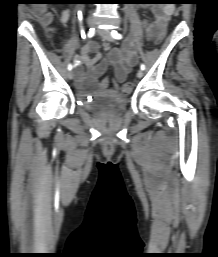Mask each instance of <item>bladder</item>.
I'll list each match as a JSON object with an SVG mask.
<instances>
[{"mask_svg": "<svg viewBox=\"0 0 218 257\" xmlns=\"http://www.w3.org/2000/svg\"><path fill=\"white\" fill-rule=\"evenodd\" d=\"M126 104L125 97L110 99L107 103V108L110 110H123Z\"/></svg>", "mask_w": 218, "mask_h": 257, "instance_id": "obj_1", "label": "bladder"}]
</instances>
